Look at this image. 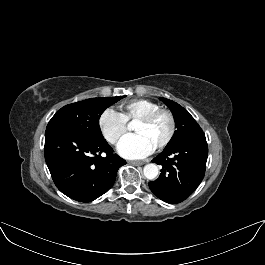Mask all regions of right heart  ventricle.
Returning a JSON list of instances; mask_svg holds the SVG:
<instances>
[{
	"instance_id": "right-heart-ventricle-1",
	"label": "right heart ventricle",
	"mask_w": 265,
	"mask_h": 265,
	"mask_svg": "<svg viewBox=\"0 0 265 265\" xmlns=\"http://www.w3.org/2000/svg\"><path fill=\"white\" fill-rule=\"evenodd\" d=\"M159 108V105L149 99L137 98L122 103L118 113L126 123H133L144 114Z\"/></svg>"
}]
</instances>
